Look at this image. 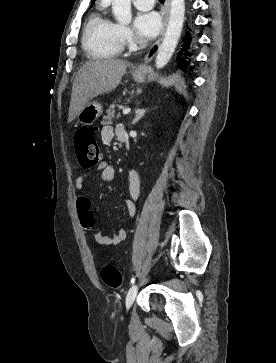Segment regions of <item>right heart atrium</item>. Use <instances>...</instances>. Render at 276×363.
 <instances>
[{
    "label": "right heart atrium",
    "mask_w": 276,
    "mask_h": 363,
    "mask_svg": "<svg viewBox=\"0 0 276 363\" xmlns=\"http://www.w3.org/2000/svg\"><path fill=\"white\" fill-rule=\"evenodd\" d=\"M119 32L124 42L129 43L130 41H132V33L127 26L119 25Z\"/></svg>",
    "instance_id": "d8ad5b80"
}]
</instances>
